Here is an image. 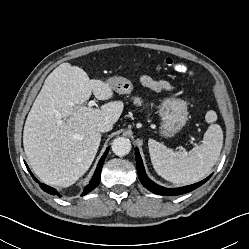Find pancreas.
<instances>
[{"label": "pancreas", "mask_w": 249, "mask_h": 249, "mask_svg": "<svg viewBox=\"0 0 249 249\" xmlns=\"http://www.w3.org/2000/svg\"><path fill=\"white\" fill-rule=\"evenodd\" d=\"M134 104L141 106L142 100L138 97L134 98Z\"/></svg>", "instance_id": "obj_1"}]
</instances>
